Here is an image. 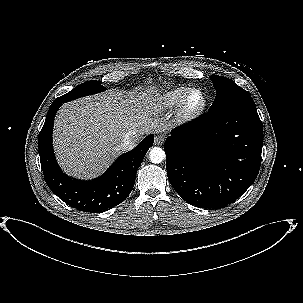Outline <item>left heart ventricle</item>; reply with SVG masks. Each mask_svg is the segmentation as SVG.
Segmentation results:
<instances>
[{"label": "left heart ventricle", "mask_w": 303, "mask_h": 303, "mask_svg": "<svg viewBox=\"0 0 303 303\" xmlns=\"http://www.w3.org/2000/svg\"><path fill=\"white\" fill-rule=\"evenodd\" d=\"M200 102V96L199 94H194L191 98V104L197 105Z\"/></svg>", "instance_id": "obj_1"}]
</instances>
